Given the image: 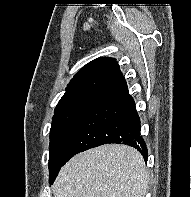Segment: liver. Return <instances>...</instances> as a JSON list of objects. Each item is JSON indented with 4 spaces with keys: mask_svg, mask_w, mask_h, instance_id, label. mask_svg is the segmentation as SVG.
<instances>
[{
    "mask_svg": "<svg viewBox=\"0 0 191 197\" xmlns=\"http://www.w3.org/2000/svg\"><path fill=\"white\" fill-rule=\"evenodd\" d=\"M149 178L134 148L106 144L79 153L60 170L55 197H145Z\"/></svg>",
    "mask_w": 191,
    "mask_h": 197,
    "instance_id": "obj_1",
    "label": "liver"
}]
</instances>
